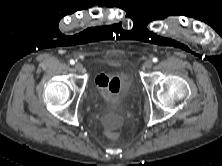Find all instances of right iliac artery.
<instances>
[{
  "mask_svg": "<svg viewBox=\"0 0 222 166\" xmlns=\"http://www.w3.org/2000/svg\"><path fill=\"white\" fill-rule=\"evenodd\" d=\"M70 64H71V65H74V64H75V61H74L73 59H71V60H70Z\"/></svg>",
  "mask_w": 222,
  "mask_h": 166,
  "instance_id": "82829eb1",
  "label": "right iliac artery"
}]
</instances>
